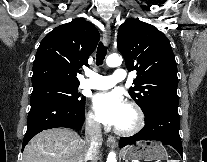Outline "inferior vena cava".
<instances>
[{"label":"inferior vena cava","mask_w":207,"mask_h":162,"mask_svg":"<svg viewBox=\"0 0 207 162\" xmlns=\"http://www.w3.org/2000/svg\"><path fill=\"white\" fill-rule=\"evenodd\" d=\"M101 125L92 118H87L85 125V143L88 146L85 161L94 160L102 145Z\"/></svg>","instance_id":"inferior-vena-cava-1"}]
</instances>
